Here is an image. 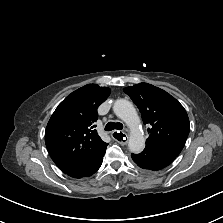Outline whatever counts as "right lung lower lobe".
Instances as JSON below:
<instances>
[{
	"label": "right lung lower lobe",
	"mask_w": 223,
	"mask_h": 223,
	"mask_svg": "<svg viewBox=\"0 0 223 223\" xmlns=\"http://www.w3.org/2000/svg\"><path fill=\"white\" fill-rule=\"evenodd\" d=\"M106 150V149H105ZM105 150L102 151L95 159H93L90 163L75 169L69 173H66L67 175L73 177V178H82V177H89L93 175L101 166L103 161V156L105 154Z\"/></svg>",
	"instance_id": "obj_1"
}]
</instances>
